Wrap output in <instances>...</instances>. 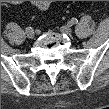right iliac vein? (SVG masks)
<instances>
[{
  "mask_svg": "<svg viewBox=\"0 0 109 109\" xmlns=\"http://www.w3.org/2000/svg\"><path fill=\"white\" fill-rule=\"evenodd\" d=\"M26 35L29 39H33L35 37V32L33 29L27 30Z\"/></svg>",
  "mask_w": 109,
  "mask_h": 109,
  "instance_id": "63e3f726",
  "label": "right iliac vein"
}]
</instances>
